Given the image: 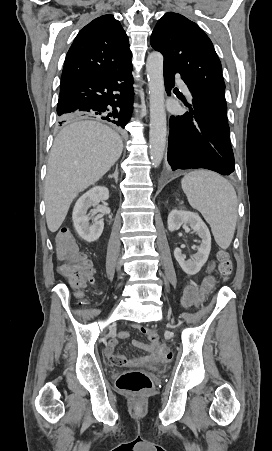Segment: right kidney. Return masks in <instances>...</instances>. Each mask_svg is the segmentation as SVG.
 I'll return each instance as SVG.
<instances>
[{"label":"right kidney","mask_w":272,"mask_h":451,"mask_svg":"<svg viewBox=\"0 0 272 451\" xmlns=\"http://www.w3.org/2000/svg\"><path fill=\"white\" fill-rule=\"evenodd\" d=\"M109 198V190L108 188H102V186H95V188H91L89 192L83 194L79 200H77L73 214L72 220L74 227L86 241H95L100 237L103 229L104 222L100 220L99 216H95L97 214V210H91L90 214H87V210L93 206H99L100 202L103 200H108ZM89 220H92L91 224Z\"/></svg>","instance_id":"obj_1"}]
</instances>
